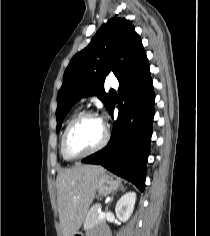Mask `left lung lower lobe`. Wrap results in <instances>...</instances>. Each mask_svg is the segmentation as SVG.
Returning a JSON list of instances; mask_svg holds the SVG:
<instances>
[{
    "mask_svg": "<svg viewBox=\"0 0 210 236\" xmlns=\"http://www.w3.org/2000/svg\"><path fill=\"white\" fill-rule=\"evenodd\" d=\"M118 118L108 145L82 160L104 166L144 190L154 117L155 95L148 60L119 82ZM115 106L108 110L113 117Z\"/></svg>",
    "mask_w": 210,
    "mask_h": 236,
    "instance_id": "left-lung-lower-lobe-1",
    "label": "left lung lower lobe"
}]
</instances>
